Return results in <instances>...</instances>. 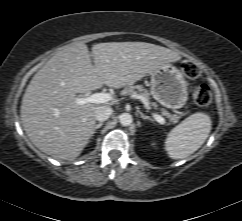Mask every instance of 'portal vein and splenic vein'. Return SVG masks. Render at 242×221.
<instances>
[{
	"label": "portal vein and splenic vein",
	"instance_id": "1",
	"mask_svg": "<svg viewBox=\"0 0 242 221\" xmlns=\"http://www.w3.org/2000/svg\"><path fill=\"white\" fill-rule=\"evenodd\" d=\"M136 98L141 99L145 103V100L141 96L137 95ZM110 100H112V96L109 93H94L90 96L79 98L77 100V103L79 105H83L86 103L99 104V103H106ZM152 115L158 123L160 124L166 123V120L162 116L156 113H153Z\"/></svg>",
	"mask_w": 242,
	"mask_h": 221
}]
</instances>
